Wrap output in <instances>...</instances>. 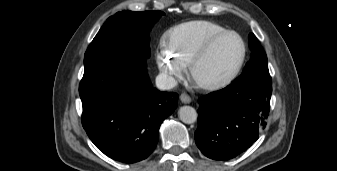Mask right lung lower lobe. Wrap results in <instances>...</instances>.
<instances>
[{
    "instance_id": "1",
    "label": "right lung lower lobe",
    "mask_w": 337,
    "mask_h": 171,
    "mask_svg": "<svg viewBox=\"0 0 337 171\" xmlns=\"http://www.w3.org/2000/svg\"><path fill=\"white\" fill-rule=\"evenodd\" d=\"M79 94L87 135L105 155L124 163L139 162L153 152L159 127L179 97L153 88L146 58L123 51L89 60Z\"/></svg>"
}]
</instances>
